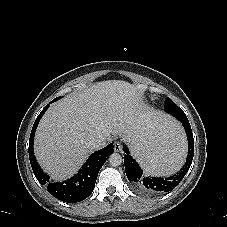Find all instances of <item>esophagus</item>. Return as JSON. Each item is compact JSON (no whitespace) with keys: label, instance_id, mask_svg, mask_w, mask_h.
I'll return each instance as SVG.
<instances>
[{"label":"esophagus","instance_id":"1","mask_svg":"<svg viewBox=\"0 0 227 227\" xmlns=\"http://www.w3.org/2000/svg\"><path fill=\"white\" fill-rule=\"evenodd\" d=\"M114 150H115V152H120L122 150V146H121L120 142L114 143Z\"/></svg>","mask_w":227,"mask_h":227}]
</instances>
